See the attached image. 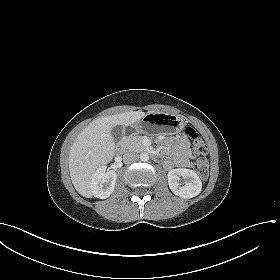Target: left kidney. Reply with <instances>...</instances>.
I'll return each mask as SVG.
<instances>
[{"label":"left kidney","mask_w":280,"mask_h":280,"mask_svg":"<svg viewBox=\"0 0 280 280\" xmlns=\"http://www.w3.org/2000/svg\"><path fill=\"white\" fill-rule=\"evenodd\" d=\"M167 176L171 191L179 197L192 198L201 192L202 182L193 170L185 168L172 169ZM180 177L186 179L184 185L179 183Z\"/></svg>","instance_id":"left-kidney-1"}]
</instances>
